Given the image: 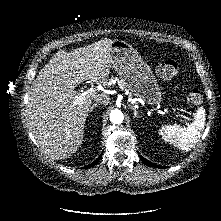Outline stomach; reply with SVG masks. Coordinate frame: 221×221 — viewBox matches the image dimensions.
<instances>
[{"mask_svg": "<svg viewBox=\"0 0 221 221\" xmlns=\"http://www.w3.org/2000/svg\"><path fill=\"white\" fill-rule=\"evenodd\" d=\"M109 53L111 66L130 95L142 99L150 106L161 103L162 92L157 80L136 49L125 41L114 40Z\"/></svg>", "mask_w": 221, "mask_h": 221, "instance_id": "obj_1", "label": "stomach"}]
</instances>
